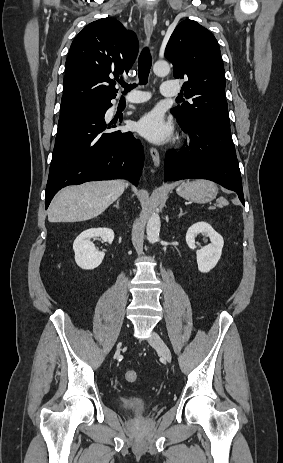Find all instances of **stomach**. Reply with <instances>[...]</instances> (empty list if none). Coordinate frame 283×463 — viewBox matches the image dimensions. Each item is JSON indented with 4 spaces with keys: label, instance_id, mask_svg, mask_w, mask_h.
<instances>
[{
    "label": "stomach",
    "instance_id": "obj_1",
    "mask_svg": "<svg viewBox=\"0 0 283 463\" xmlns=\"http://www.w3.org/2000/svg\"><path fill=\"white\" fill-rule=\"evenodd\" d=\"M179 196L196 202L205 203L211 201L218 192L217 186L208 180H196L192 182H181L176 187Z\"/></svg>",
    "mask_w": 283,
    "mask_h": 463
}]
</instances>
